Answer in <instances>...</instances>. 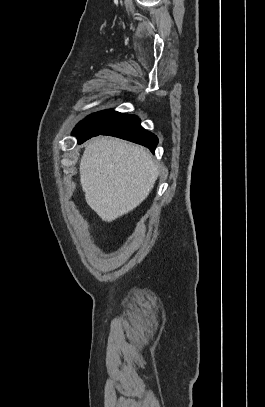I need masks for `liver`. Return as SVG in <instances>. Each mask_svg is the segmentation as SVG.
Listing matches in <instances>:
<instances>
[{
    "label": "liver",
    "instance_id": "1",
    "mask_svg": "<svg viewBox=\"0 0 265 407\" xmlns=\"http://www.w3.org/2000/svg\"><path fill=\"white\" fill-rule=\"evenodd\" d=\"M79 172L88 205L105 222H112L139 206L158 177L147 149L102 136L85 148Z\"/></svg>",
    "mask_w": 265,
    "mask_h": 407
}]
</instances>
